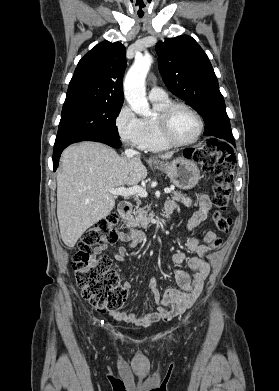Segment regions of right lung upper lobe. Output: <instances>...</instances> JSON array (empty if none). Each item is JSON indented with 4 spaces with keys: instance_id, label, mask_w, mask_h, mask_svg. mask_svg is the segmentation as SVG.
<instances>
[{
    "instance_id": "right-lung-upper-lobe-1",
    "label": "right lung upper lobe",
    "mask_w": 279,
    "mask_h": 391,
    "mask_svg": "<svg viewBox=\"0 0 279 391\" xmlns=\"http://www.w3.org/2000/svg\"><path fill=\"white\" fill-rule=\"evenodd\" d=\"M125 47L104 41L79 61L69 83L63 109L88 104H123Z\"/></svg>"
}]
</instances>
